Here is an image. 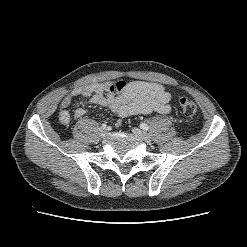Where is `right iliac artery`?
I'll return each instance as SVG.
<instances>
[{
	"mask_svg": "<svg viewBox=\"0 0 247 247\" xmlns=\"http://www.w3.org/2000/svg\"><path fill=\"white\" fill-rule=\"evenodd\" d=\"M106 126H107V125H106L105 123L102 124V127H103V128H106Z\"/></svg>",
	"mask_w": 247,
	"mask_h": 247,
	"instance_id": "1",
	"label": "right iliac artery"
}]
</instances>
